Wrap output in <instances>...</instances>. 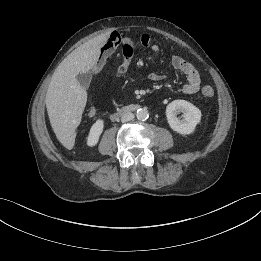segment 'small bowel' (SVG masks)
Returning a JSON list of instances; mask_svg holds the SVG:
<instances>
[{
	"instance_id": "obj_1",
	"label": "small bowel",
	"mask_w": 261,
	"mask_h": 261,
	"mask_svg": "<svg viewBox=\"0 0 261 261\" xmlns=\"http://www.w3.org/2000/svg\"><path fill=\"white\" fill-rule=\"evenodd\" d=\"M141 46L145 49H149L152 52H158L160 47L154 43L152 36L149 33H142L139 38V43L135 41L121 37L117 33L110 34L102 48L99 64L96 68V72L100 69L101 65L115 52L117 48H121L122 59L117 69V76H123L127 73L133 56ZM170 64L175 71L182 73L186 77V83L182 87V93L185 95L196 94L200 89L201 79L200 74L196 68L184 58L178 55H173L170 59ZM164 75L158 72L150 74V79L153 81H160L164 79ZM96 113L94 108L89 111L90 116H94Z\"/></svg>"
}]
</instances>
